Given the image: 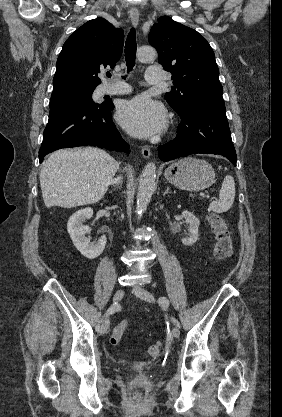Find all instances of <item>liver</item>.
Returning a JSON list of instances; mask_svg holds the SVG:
<instances>
[{
	"instance_id": "liver-1",
	"label": "liver",
	"mask_w": 282,
	"mask_h": 417,
	"mask_svg": "<svg viewBox=\"0 0 282 417\" xmlns=\"http://www.w3.org/2000/svg\"><path fill=\"white\" fill-rule=\"evenodd\" d=\"M118 162L101 148L55 150L42 164L40 186L47 209L50 206L93 204L103 198Z\"/></svg>"
}]
</instances>
